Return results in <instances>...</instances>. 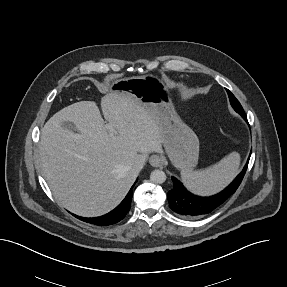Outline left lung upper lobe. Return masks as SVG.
Wrapping results in <instances>:
<instances>
[{"mask_svg": "<svg viewBox=\"0 0 287 287\" xmlns=\"http://www.w3.org/2000/svg\"><path fill=\"white\" fill-rule=\"evenodd\" d=\"M227 93H228V96H229V100H230V103L232 105V107L234 108V110L236 112H238L239 114H245L244 113V110L241 106V104L239 103V101L235 98V96L228 90L226 89Z\"/></svg>", "mask_w": 287, "mask_h": 287, "instance_id": "5c2ea615", "label": "left lung upper lobe"}]
</instances>
